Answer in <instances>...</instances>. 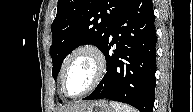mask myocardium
Wrapping results in <instances>:
<instances>
[{
	"label": "myocardium",
	"instance_id": "myocardium-1",
	"mask_svg": "<svg viewBox=\"0 0 193 112\" xmlns=\"http://www.w3.org/2000/svg\"><path fill=\"white\" fill-rule=\"evenodd\" d=\"M82 53H86V54L90 55L92 57V59L94 60V64H95L94 77H93L90 85L85 90H83L82 92H80L78 94H70L68 92L67 86H66L67 68H68L70 62L72 61V59L74 57H76L77 55L82 54ZM105 71H106V59H105V56H104L103 52L101 51V49L92 43L82 44V45L76 47L75 49H73L68 54L66 59L64 60L62 70H61L62 90H63L64 94L68 97L76 98V97L84 96L97 87V85L102 80V78L105 74Z\"/></svg>",
	"mask_w": 193,
	"mask_h": 112
}]
</instances>
